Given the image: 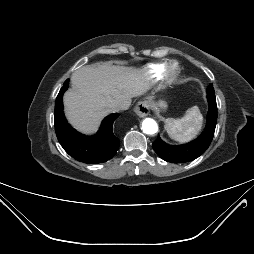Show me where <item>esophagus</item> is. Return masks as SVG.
<instances>
[{
    "label": "esophagus",
    "instance_id": "34e87169",
    "mask_svg": "<svg viewBox=\"0 0 254 254\" xmlns=\"http://www.w3.org/2000/svg\"><path fill=\"white\" fill-rule=\"evenodd\" d=\"M134 111L139 117L148 116L149 113H150V104H149V102L146 101V100L138 102L137 105L135 106Z\"/></svg>",
    "mask_w": 254,
    "mask_h": 254
}]
</instances>
